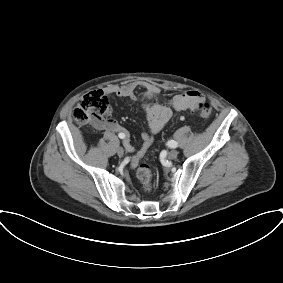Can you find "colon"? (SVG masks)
Masks as SVG:
<instances>
[{
    "mask_svg": "<svg viewBox=\"0 0 283 283\" xmlns=\"http://www.w3.org/2000/svg\"><path fill=\"white\" fill-rule=\"evenodd\" d=\"M111 113V106L107 97L100 91H91L84 94L72 111V118L78 125L91 124L95 127H103L106 118ZM196 113L201 118H208L212 114V107L206 102L198 103ZM137 176L146 192L153 189L152 171L147 164H140Z\"/></svg>",
    "mask_w": 283,
    "mask_h": 283,
    "instance_id": "obj_1",
    "label": "colon"
}]
</instances>
